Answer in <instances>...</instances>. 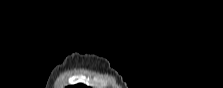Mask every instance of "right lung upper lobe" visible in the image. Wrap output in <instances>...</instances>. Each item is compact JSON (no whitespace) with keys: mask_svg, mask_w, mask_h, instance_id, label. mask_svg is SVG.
Instances as JSON below:
<instances>
[{"mask_svg":"<svg viewBox=\"0 0 223 88\" xmlns=\"http://www.w3.org/2000/svg\"><path fill=\"white\" fill-rule=\"evenodd\" d=\"M69 88H86V86L83 84H78V85H74V86H69Z\"/></svg>","mask_w":223,"mask_h":88,"instance_id":"cb5924a9","label":"right lung upper lobe"}]
</instances>
